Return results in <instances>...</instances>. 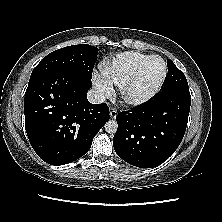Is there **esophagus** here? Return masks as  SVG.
<instances>
[{
  "label": "esophagus",
  "instance_id": "34e87169",
  "mask_svg": "<svg viewBox=\"0 0 222 222\" xmlns=\"http://www.w3.org/2000/svg\"><path fill=\"white\" fill-rule=\"evenodd\" d=\"M116 116H117V110H116V108H111V110H110V118H111V119H115Z\"/></svg>",
  "mask_w": 222,
  "mask_h": 222
}]
</instances>
